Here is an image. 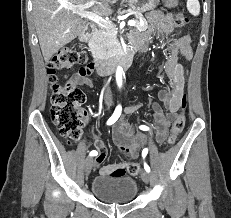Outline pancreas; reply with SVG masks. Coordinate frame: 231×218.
<instances>
[{
    "label": "pancreas",
    "instance_id": "cf45deb5",
    "mask_svg": "<svg viewBox=\"0 0 231 218\" xmlns=\"http://www.w3.org/2000/svg\"><path fill=\"white\" fill-rule=\"evenodd\" d=\"M127 11L123 10L120 13H125ZM135 17V28L139 31H146L149 25L147 21L143 18L142 14L137 13ZM140 21H142V23ZM116 33V29L112 24H108L104 27L98 26L91 38L93 48L97 49V51L100 53L111 51L113 49V42L116 40Z\"/></svg>",
    "mask_w": 231,
    "mask_h": 218
}]
</instances>
